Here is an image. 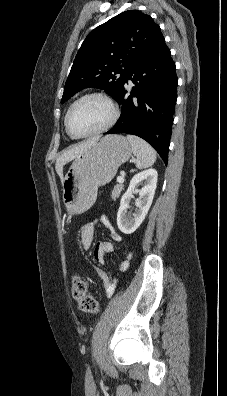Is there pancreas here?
Returning a JSON list of instances; mask_svg holds the SVG:
<instances>
[{"label":"pancreas","instance_id":"obj_1","mask_svg":"<svg viewBox=\"0 0 227 396\" xmlns=\"http://www.w3.org/2000/svg\"><path fill=\"white\" fill-rule=\"evenodd\" d=\"M123 187H124L123 183H119L114 186L111 194L113 200H116L119 197L121 191L123 190Z\"/></svg>","mask_w":227,"mask_h":396}]
</instances>
